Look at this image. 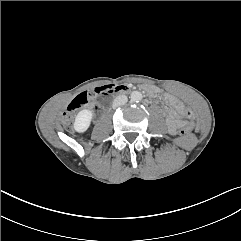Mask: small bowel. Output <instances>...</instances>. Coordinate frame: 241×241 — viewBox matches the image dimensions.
<instances>
[{"mask_svg": "<svg viewBox=\"0 0 241 241\" xmlns=\"http://www.w3.org/2000/svg\"><path fill=\"white\" fill-rule=\"evenodd\" d=\"M168 101L172 105L173 110L170 112L167 122L169 131L174 133L177 127L184 126L186 124L183 119L184 115V105L183 103L173 96H168Z\"/></svg>", "mask_w": 241, "mask_h": 241, "instance_id": "c3829d8e", "label": "small bowel"}]
</instances>
